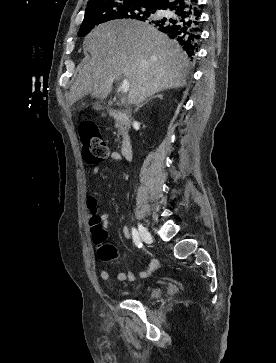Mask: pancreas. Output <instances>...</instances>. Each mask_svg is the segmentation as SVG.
<instances>
[{"label":"pancreas","instance_id":"cf45deb5","mask_svg":"<svg viewBox=\"0 0 276 363\" xmlns=\"http://www.w3.org/2000/svg\"><path fill=\"white\" fill-rule=\"evenodd\" d=\"M115 127L118 129V136L124 134V130H123L122 125L120 123L117 122L115 124Z\"/></svg>","mask_w":276,"mask_h":363}]
</instances>
